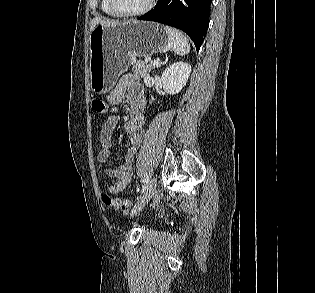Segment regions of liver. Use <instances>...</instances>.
<instances>
[{
    "label": "liver",
    "instance_id": "obj_1",
    "mask_svg": "<svg viewBox=\"0 0 315 293\" xmlns=\"http://www.w3.org/2000/svg\"><path fill=\"white\" fill-rule=\"evenodd\" d=\"M119 21H112L107 19H101L99 17L94 18L90 24V30L92 31L97 25H117L120 24Z\"/></svg>",
    "mask_w": 315,
    "mask_h": 293
}]
</instances>
